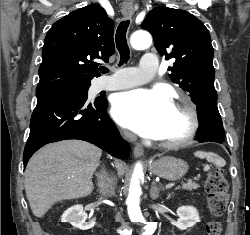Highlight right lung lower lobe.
Listing matches in <instances>:
<instances>
[{
	"label": "right lung lower lobe",
	"instance_id": "obj_1",
	"mask_svg": "<svg viewBox=\"0 0 250 235\" xmlns=\"http://www.w3.org/2000/svg\"><path fill=\"white\" fill-rule=\"evenodd\" d=\"M90 86L37 95V105L30 122L23 162L42 146L66 139L90 142L117 158H126L129 145L106 113L107 100L90 102Z\"/></svg>",
	"mask_w": 250,
	"mask_h": 235
}]
</instances>
